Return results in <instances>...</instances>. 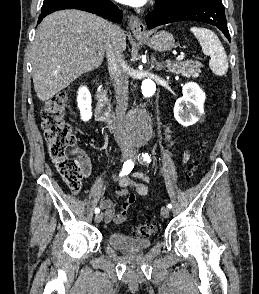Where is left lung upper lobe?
<instances>
[{"mask_svg": "<svg viewBox=\"0 0 259 294\" xmlns=\"http://www.w3.org/2000/svg\"><path fill=\"white\" fill-rule=\"evenodd\" d=\"M160 1V6L163 8L172 7L176 4L183 3L187 0H158Z\"/></svg>", "mask_w": 259, "mask_h": 294, "instance_id": "5c2ea615", "label": "left lung upper lobe"}]
</instances>
